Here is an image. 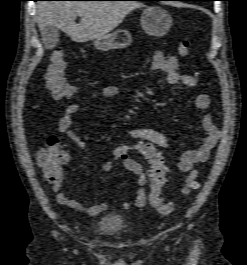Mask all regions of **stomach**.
Listing matches in <instances>:
<instances>
[{"label":"stomach","instance_id":"stomach-1","mask_svg":"<svg viewBox=\"0 0 247 265\" xmlns=\"http://www.w3.org/2000/svg\"><path fill=\"white\" fill-rule=\"evenodd\" d=\"M140 24L146 34L161 37L171 28L172 17L160 6H148L141 14ZM132 41V36L127 30L119 29L103 38L96 39L94 46L99 51H109L126 48L131 45Z\"/></svg>","mask_w":247,"mask_h":265}]
</instances>
